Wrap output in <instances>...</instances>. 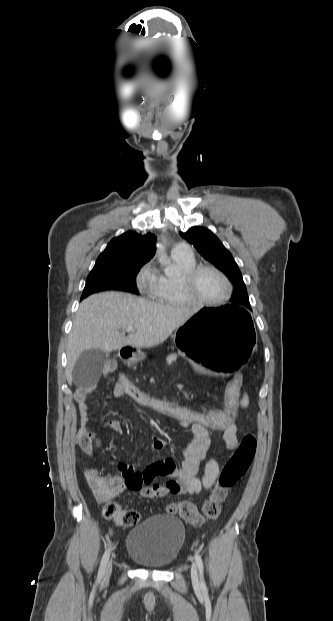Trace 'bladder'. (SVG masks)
Masks as SVG:
<instances>
[{
	"label": "bladder",
	"instance_id": "1",
	"mask_svg": "<svg viewBox=\"0 0 333 621\" xmlns=\"http://www.w3.org/2000/svg\"><path fill=\"white\" fill-rule=\"evenodd\" d=\"M185 542V526L173 515L159 514L134 527L127 538L129 558L142 566L165 569L178 557Z\"/></svg>",
	"mask_w": 333,
	"mask_h": 621
}]
</instances>
